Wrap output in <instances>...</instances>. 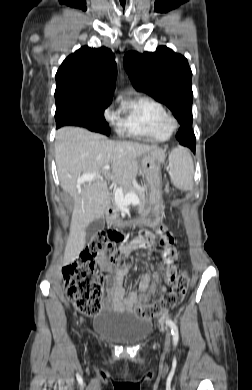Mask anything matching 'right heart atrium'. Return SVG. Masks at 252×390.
<instances>
[{
  "mask_svg": "<svg viewBox=\"0 0 252 390\" xmlns=\"http://www.w3.org/2000/svg\"><path fill=\"white\" fill-rule=\"evenodd\" d=\"M105 118L110 122H114L116 120V113L108 109L105 111Z\"/></svg>",
  "mask_w": 252,
  "mask_h": 390,
  "instance_id": "1",
  "label": "right heart atrium"
}]
</instances>
